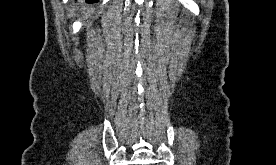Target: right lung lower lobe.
<instances>
[{
	"label": "right lung lower lobe",
	"instance_id": "1",
	"mask_svg": "<svg viewBox=\"0 0 276 165\" xmlns=\"http://www.w3.org/2000/svg\"><path fill=\"white\" fill-rule=\"evenodd\" d=\"M95 1H97V0H86V3H93Z\"/></svg>",
	"mask_w": 276,
	"mask_h": 165
}]
</instances>
